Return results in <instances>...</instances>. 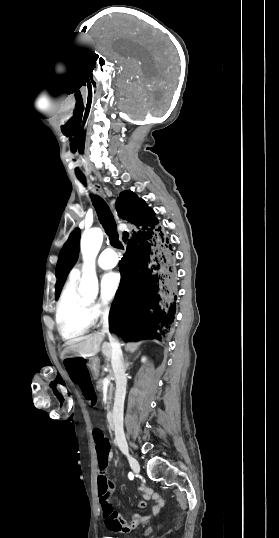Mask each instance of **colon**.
<instances>
[{"label": "colon", "instance_id": "5ec220e1", "mask_svg": "<svg viewBox=\"0 0 279 538\" xmlns=\"http://www.w3.org/2000/svg\"><path fill=\"white\" fill-rule=\"evenodd\" d=\"M97 459H98V493L104 516H111L114 512L109 502V483L107 479V465L109 462L111 447L103 431H93Z\"/></svg>", "mask_w": 279, "mask_h": 538}]
</instances>
